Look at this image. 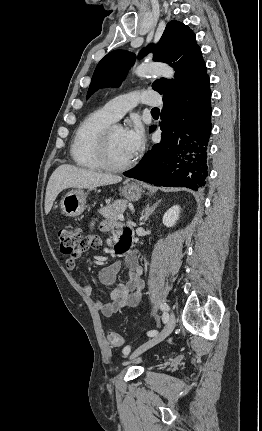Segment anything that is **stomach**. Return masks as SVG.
<instances>
[{"label":"stomach","instance_id":"0dacf381","mask_svg":"<svg viewBox=\"0 0 262 431\" xmlns=\"http://www.w3.org/2000/svg\"><path fill=\"white\" fill-rule=\"evenodd\" d=\"M122 195L126 200L137 201L145 192L134 183H127L122 188ZM87 193L83 189L69 191L61 200V209L69 217H76L83 213L86 207Z\"/></svg>","mask_w":262,"mask_h":431}]
</instances>
